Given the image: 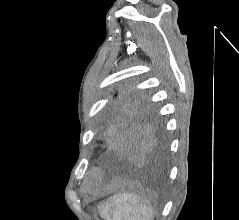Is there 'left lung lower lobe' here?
I'll use <instances>...</instances> for the list:
<instances>
[{
	"label": "left lung lower lobe",
	"mask_w": 239,
	"mask_h": 220,
	"mask_svg": "<svg viewBox=\"0 0 239 220\" xmlns=\"http://www.w3.org/2000/svg\"><path fill=\"white\" fill-rule=\"evenodd\" d=\"M107 162L110 166L139 162H159L165 156L160 125L147 111L112 108L104 122Z\"/></svg>",
	"instance_id": "left-lung-lower-lobe-1"
}]
</instances>
